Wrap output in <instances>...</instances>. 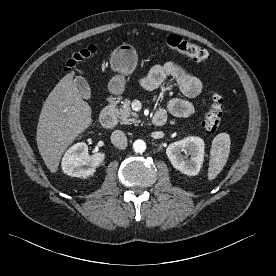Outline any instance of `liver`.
<instances>
[{
	"label": "liver",
	"mask_w": 276,
	"mask_h": 276,
	"mask_svg": "<svg viewBox=\"0 0 276 276\" xmlns=\"http://www.w3.org/2000/svg\"><path fill=\"white\" fill-rule=\"evenodd\" d=\"M73 76V72L65 75L50 92L37 125L38 150L52 173L68 146L92 123L91 107L79 94Z\"/></svg>",
	"instance_id": "obj_1"
}]
</instances>
